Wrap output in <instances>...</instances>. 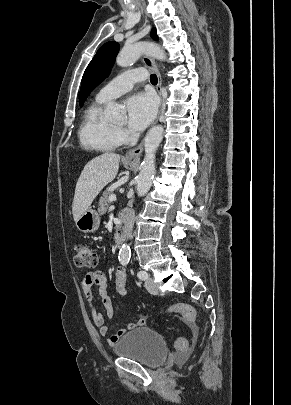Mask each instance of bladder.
Masks as SVG:
<instances>
[{"label": "bladder", "instance_id": "31cf9c89", "mask_svg": "<svg viewBox=\"0 0 291 405\" xmlns=\"http://www.w3.org/2000/svg\"><path fill=\"white\" fill-rule=\"evenodd\" d=\"M116 355L135 360L147 367H158L169 350L164 337L150 327H138L125 334L115 345Z\"/></svg>", "mask_w": 291, "mask_h": 405}]
</instances>
